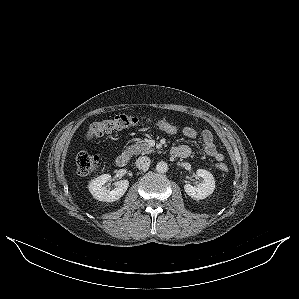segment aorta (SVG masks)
Listing matches in <instances>:
<instances>
[{"label": "aorta", "instance_id": "obj_1", "mask_svg": "<svg viewBox=\"0 0 299 299\" xmlns=\"http://www.w3.org/2000/svg\"><path fill=\"white\" fill-rule=\"evenodd\" d=\"M156 170L159 173H166L168 171L167 163L164 161L158 162L156 165Z\"/></svg>", "mask_w": 299, "mask_h": 299}]
</instances>
